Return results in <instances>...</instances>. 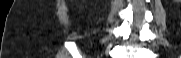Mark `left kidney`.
Wrapping results in <instances>:
<instances>
[{"label":"left kidney","instance_id":"left-kidney-1","mask_svg":"<svg viewBox=\"0 0 181 58\" xmlns=\"http://www.w3.org/2000/svg\"><path fill=\"white\" fill-rule=\"evenodd\" d=\"M175 2H181V0H174Z\"/></svg>","mask_w":181,"mask_h":58}]
</instances>
